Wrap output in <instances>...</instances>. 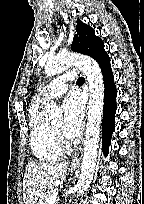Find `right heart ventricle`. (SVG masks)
<instances>
[{
    "mask_svg": "<svg viewBox=\"0 0 144 204\" xmlns=\"http://www.w3.org/2000/svg\"><path fill=\"white\" fill-rule=\"evenodd\" d=\"M40 102L34 103L29 112V142L33 155L40 161L52 162L62 155L50 124L42 117Z\"/></svg>",
    "mask_w": 144,
    "mask_h": 204,
    "instance_id": "e07e8e85",
    "label": "right heart ventricle"
}]
</instances>
